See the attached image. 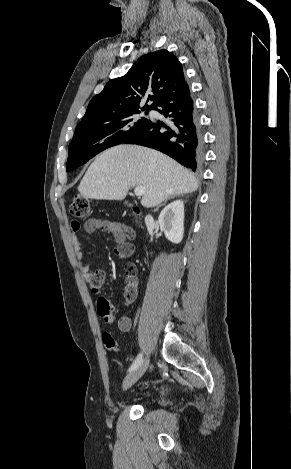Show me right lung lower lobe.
<instances>
[{"mask_svg":"<svg viewBox=\"0 0 291 469\" xmlns=\"http://www.w3.org/2000/svg\"><path fill=\"white\" fill-rule=\"evenodd\" d=\"M157 106L154 109L168 122L149 120L123 143L154 148L196 171L202 160V141L188 85L169 93Z\"/></svg>","mask_w":291,"mask_h":469,"instance_id":"obj_1","label":"right lung lower lobe"}]
</instances>
